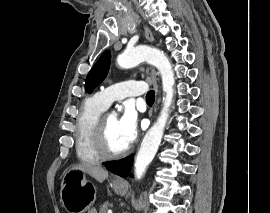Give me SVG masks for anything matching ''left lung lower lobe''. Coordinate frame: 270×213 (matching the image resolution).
Masks as SVG:
<instances>
[{
    "mask_svg": "<svg viewBox=\"0 0 270 213\" xmlns=\"http://www.w3.org/2000/svg\"><path fill=\"white\" fill-rule=\"evenodd\" d=\"M133 162V156H130L128 158L114 161L110 165L107 166V169L111 171L114 174H117L122 177L128 176L131 166Z\"/></svg>",
    "mask_w": 270,
    "mask_h": 213,
    "instance_id": "0a47b994",
    "label": "left lung lower lobe"
}]
</instances>
